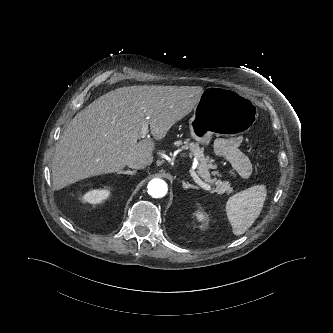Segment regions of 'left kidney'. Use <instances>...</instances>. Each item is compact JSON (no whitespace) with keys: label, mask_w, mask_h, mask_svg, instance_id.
I'll return each mask as SVG.
<instances>
[{"label":"left kidney","mask_w":333,"mask_h":333,"mask_svg":"<svg viewBox=\"0 0 333 333\" xmlns=\"http://www.w3.org/2000/svg\"><path fill=\"white\" fill-rule=\"evenodd\" d=\"M195 216L200 222L206 221V215L201 211H196Z\"/></svg>","instance_id":"5707ae66"}]
</instances>
